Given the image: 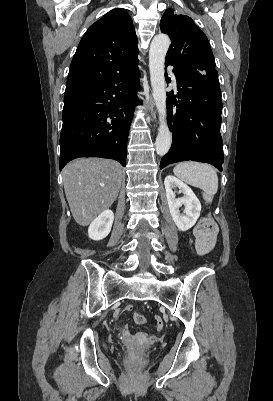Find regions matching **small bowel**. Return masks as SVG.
I'll list each match as a JSON object with an SVG mask.
<instances>
[{
	"mask_svg": "<svg viewBox=\"0 0 273 401\" xmlns=\"http://www.w3.org/2000/svg\"><path fill=\"white\" fill-rule=\"evenodd\" d=\"M196 235V232H195ZM197 236V235H196ZM213 243L214 241H196V248L197 251L200 255H205L207 254L213 247ZM124 311H127L128 313H131L133 311V308L131 306H128L126 308H124ZM157 315V314H156ZM135 321H138L136 318H134ZM143 321H145V319H143ZM163 319L162 318H156L155 319V328H156V332L160 333L161 332V328H162V324H163ZM122 337L123 338H129L130 337V332L128 331L127 328L123 329L122 332ZM149 337V332L148 331H142L137 338H148Z\"/></svg>",
	"mask_w": 273,
	"mask_h": 401,
	"instance_id": "c3829d8e",
	"label": "small bowel"
}]
</instances>
